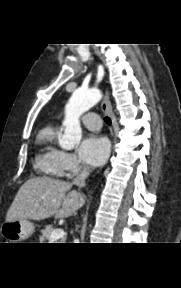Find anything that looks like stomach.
I'll return each instance as SVG.
<instances>
[{"instance_id":"obj_1","label":"stomach","mask_w":181,"mask_h":288,"mask_svg":"<svg viewBox=\"0 0 181 288\" xmlns=\"http://www.w3.org/2000/svg\"><path fill=\"white\" fill-rule=\"evenodd\" d=\"M34 232V224L29 220L5 221L0 227V234L8 243H18L28 239Z\"/></svg>"}]
</instances>
